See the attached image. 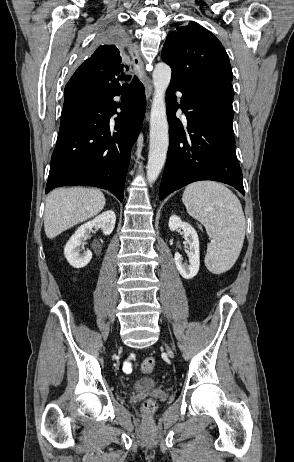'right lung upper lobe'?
Masks as SVG:
<instances>
[{"label":"right lung upper lobe","instance_id":"cb5924a9","mask_svg":"<svg viewBox=\"0 0 294 462\" xmlns=\"http://www.w3.org/2000/svg\"><path fill=\"white\" fill-rule=\"evenodd\" d=\"M123 69L124 64L118 48L115 45H100L92 56L79 66L67 83L65 100L75 94L92 97L125 88L126 85L121 86L119 83V74Z\"/></svg>","mask_w":294,"mask_h":462}]
</instances>
